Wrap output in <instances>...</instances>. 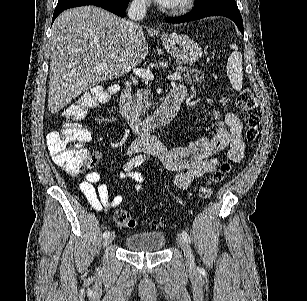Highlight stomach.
<instances>
[{
  "mask_svg": "<svg viewBox=\"0 0 307 301\" xmlns=\"http://www.w3.org/2000/svg\"><path fill=\"white\" fill-rule=\"evenodd\" d=\"M161 40L164 48L176 58L179 64H194L203 56L200 44L188 34H178V32L162 34Z\"/></svg>",
  "mask_w": 307,
  "mask_h": 301,
  "instance_id": "obj_1",
  "label": "stomach"
}]
</instances>
